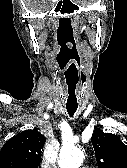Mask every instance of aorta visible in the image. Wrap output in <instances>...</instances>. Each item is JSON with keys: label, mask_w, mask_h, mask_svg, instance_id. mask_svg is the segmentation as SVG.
Returning a JSON list of instances; mask_svg holds the SVG:
<instances>
[{"label": "aorta", "mask_w": 127, "mask_h": 168, "mask_svg": "<svg viewBox=\"0 0 127 168\" xmlns=\"http://www.w3.org/2000/svg\"><path fill=\"white\" fill-rule=\"evenodd\" d=\"M84 154L80 148L71 146L63 148L60 152V168H79L83 162Z\"/></svg>", "instance_id": "1"}]
</instances>
